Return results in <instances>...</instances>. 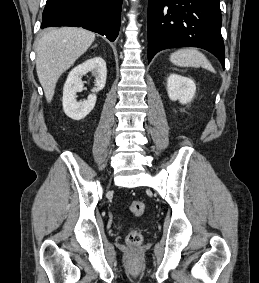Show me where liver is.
I'll return each mask as SVG.
<instances>
[{
	"label": "liver",
	"mask_w": 259,
	"mask_h": 283,
	"mask_svg": "<svg viewBox=\"0 0 259 283\" xmlns=\"http://www.w3.org/2000/svg\"><path fill=\"white\" fill-rule=\"evenodd\" d=\"M95 34L83 28L61 27L47 29L36 46V71L48 103L62 73L84 54Z\"/></svg>",
	"instance_id": "obj_1"
}]
</instances>
